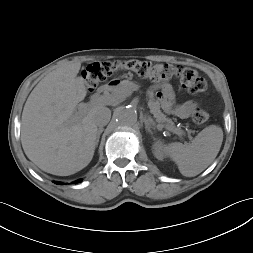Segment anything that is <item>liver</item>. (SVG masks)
Listing matches in <instances>:
<instances>
[{"instance_id": "6515ba94", "label": "liver", "mask_w": 253, "mask_h": 253, "mask_svg": "<svg viewBox=\"0 0 253 253\" xmlns=\"http://www.w3.org/2000/svg\"><path fill=\"white\" fill-rule=\"evenodd\" d=\"M80 67V62H67L48 73L30 93L22 112L23 150L50 174H74L94 155L98 131L94 116L105 103L73 121L76 106L87 94L85 80L77 77Z\"/></svg>"}]
</instances>
